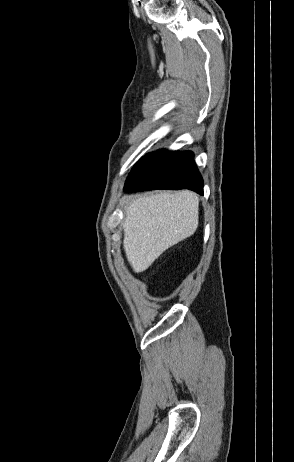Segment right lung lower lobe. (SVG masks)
I'll return each mask as SVG.
<instances>
[{"label":"right lung lower lobe","mask_w":294,"mask_h":462,"mask_svg":"<svg viewBox=\"0 0 294 462\" xmlns=\"http://www.w3.org/2000/svg\"><path fill=\"white\" fill-rule=\"evenodd\" d=\"M193 156L189 151L165 150L145 155L130 172L124 191L190 189L203 195V180Z\"/></svg>","instance_id":"98d812e1"}]
</instances>
